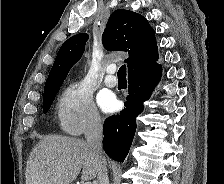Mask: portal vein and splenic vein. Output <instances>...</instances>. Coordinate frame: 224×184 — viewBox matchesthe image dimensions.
I'll return each instance as SVG.
<instances>
[{
	"mask_svg": "<svg viewBox=\"0 0 224 184\" xmlns=\"http://www.w3.org/2000/svg\"><path fill=\"white\" fill-rule=\"evenodd\" d=\"M84 184H91L90 182H86V183H84Z\"/></svg>",
	"mask_w": 224,
	"mask_h": 184,
	"instance_id": "1",
	"label": "portal vein and splenic vein"
}]
</instances>
